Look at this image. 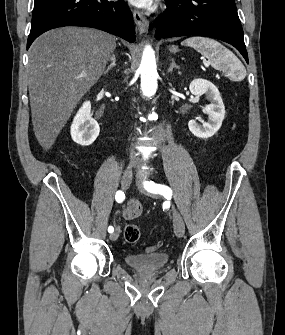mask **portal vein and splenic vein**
Returning <instances> with one entry per match:
<instances>
[{
    "label": "portal vein and splenic vein",
    "mask_w": 285,
    "mask_h": 335,
    "mask_svg": "<svg viewBox=\"0 0 285 335\" xmlns=\"http://www.w3.org/2000/svg\"><path fill=\"white\" fill-rule=\"evenodd\" d=\"M80 78H86V76H83V74H82V76H80Z\"/></svg>",
    "instance_id": "18ae733b"
}]
</instances>
